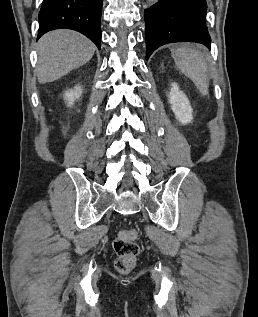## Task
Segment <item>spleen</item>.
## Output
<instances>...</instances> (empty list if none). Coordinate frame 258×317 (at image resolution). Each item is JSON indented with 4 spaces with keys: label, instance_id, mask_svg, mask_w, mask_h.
<instances>
[{
    "label": "spleen",
    "instance_id": "3e777b00",
    "mask_svg": "<svg viewBox=\"0 0 258 317\" xmlns=\"http://www.w3.org/2000/svg\"><path fill=\"white\" fill-rule=\"evenodd\" d=\"M171 52L177 68L193 80L201 94H208L209 68L203 52L189 44L171 48Z\"/></svg>",
    "mask_w": 258,
    "mask_h": 317
}]
</instances>
